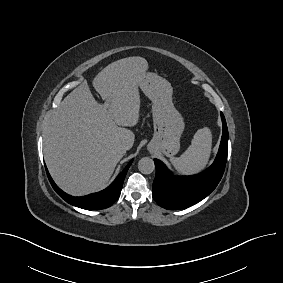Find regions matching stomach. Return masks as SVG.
<instances>
[{
    "label": "stomach",
    "instance_id": "stomach-1",
    "mask_svg": "<svg viewBox=\"0 0 283 283\" xmlns=\"http://www.w3.org/2000/svg\"><path fill=\"white\" fill-rule=\"evenodd\" d=\"M139 86L153 103L154 135L148 150L171 157L180 149V137L185 128L183 117L172 101V86L153 73H146Z\"/></svg>",
    "mask_w": 283,
    "mask_h": 283
}]
</instances>
